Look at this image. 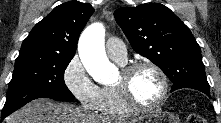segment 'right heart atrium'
I'll use <instances>...</instances> for the list:
<instances>
[{
  "label": "right heart atrium",
  "mask_w": 221,
  "mask_h": 123,
  "mask_svg": "<svg viewBox=\"0 0 221 123\" xmlns=\"http://www.w3.org/2000/svg\"><path fill=\"white\" fill-rule=\"evenodd\" d=\"M63 80L68 90L83 108L90 111L98 110L101 88L93 82L78 56H74L67 64Z\"/></svg>",
  "instance_id": "right-heart-atrium-1"
}]
</instances>
